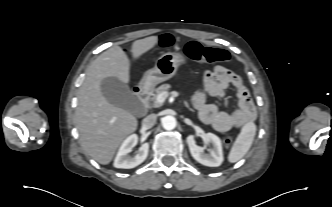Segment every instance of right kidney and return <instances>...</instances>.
I'll list each match as a JSON object with an SVG mask.
<instances>
[{"mask_svg": "<svg viewBox=\"0 0 332 207\" xmlns=\"http://www.w3.org/2000/svg\"><path fill=\"white\" fill-rule=\"evenodd\" d=\"M138 136L132 134L127 137L120 146L118 153L114 160V167L131 169L140 165L148 156L149 144L143 143L134 157L128 156L133 147L137 144Z\"/></svg>", "mask_w": 332, "mask_h": 207, "instance_id": "obj_1", "label": "right kidney"}]
</instances>
